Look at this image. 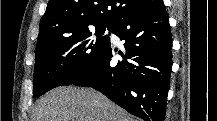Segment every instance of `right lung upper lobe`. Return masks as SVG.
Segmentation results:
<instances>
[{
    "instance_id": "cb5924a9",
    "label": "right lung upper lobe",
    "mask_w": 217,
    "mask_h": 121,
    "mask_svg": "<svg viewBox=\"0 0 217 121\" xmlns=\"http://www.w3.org/2000/svg\"><path fill=\"white\" fill-rule=\"evenodd\" d=\"M146 0H49L36 48L94 24L116 25Z\"/></svg>"
}]
</instances>
